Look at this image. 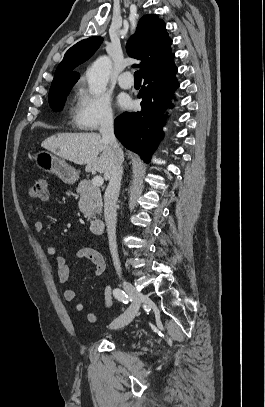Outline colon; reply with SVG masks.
I'll return each instance as SVG.
<instances>
[{
	"instance_id": "colon-1",
	"label": "colon",
	"mask_w": 265,
	"mask_h": 407,
	"mask_svg": "<svg viewBox=\"0 0 265 407\" xmlns=\"http://www.w3.org/2000/svg\"><path fill=\"white\" fill-rule=\"evenodd\" d=\"M31 197L39 200H46L48 197L47 181L44 177H38L35 179L31 189Z\"/></svg>"
}]
</instances>
